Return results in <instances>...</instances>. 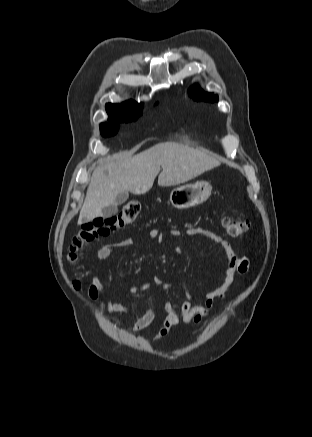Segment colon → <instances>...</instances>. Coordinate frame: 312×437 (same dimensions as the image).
Returning <instances> with one entry per match:
<instances>
[{"label":"colon","instance_id":"obj_1","mask_svg":"<svg viewBox=\"0 0 312 437\" xmlns=\"http://www.w3.org/2000/svg\"><path fill=\"white\" fill-rule=\"evenodd\" d=\"M142 212V205L137 200H130L122 205L120 212L110 217H98L84 224L77 234L73 237L70 245V259L74 260L78 250L86 243L95 239L107 236L130 223L135 221ZM250 223L247 219H227L225 221L226 234L229 237L237 238L243 236L249 229ZM75 286L79 282H74Z\"/></svg>","mask_w":312,"mask_h":437}]
</instances>
